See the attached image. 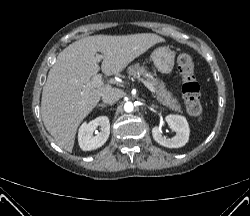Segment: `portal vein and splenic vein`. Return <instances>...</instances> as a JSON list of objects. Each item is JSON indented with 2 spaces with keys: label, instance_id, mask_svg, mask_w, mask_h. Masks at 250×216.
<instances>
[{
  "label": "portal vein and splenic vein",
  "instance_id": "1",
  "mask_svg": "<svg viewBox=\"0 0 250 216\" xmlns=\"http://www.w3.org/2000/svg\"><path fill=\"white\" fill-rule=\"evenodd\" d=\"M96 58L99 61L102 58V56L98 55ZM137 78H138L139 81H141L145 85V87L148 88L149 91H151L152 93H155V89L153 88V86L150 83H148L146 80H144L140 76H137ZM90 84L93 85V86H101V85H103L104 81H103L102 75H100V74L95 75L92 78Z\"/></svg>",
  "mask_w": 250,
  "mask_h": 216
}]
</instances>
